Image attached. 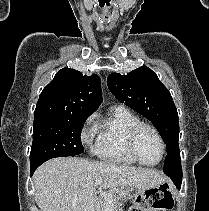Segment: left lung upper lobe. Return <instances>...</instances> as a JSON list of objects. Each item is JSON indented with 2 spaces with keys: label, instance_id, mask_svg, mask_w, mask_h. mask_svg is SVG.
<instances>
[{
  "label": "left lung upper lobe",
  "instance_id": "1",
  "mask_svg": "<svg viewBox=\"0 0 209 211\" xmlns=\"http://www.w3.org/2000/svg\"><path fill=\"white\" fill-rule=\"evenodd\" d=\"M111 93L122 103L149 119L166 143L165 174L182 172L179 151V118L169 90L147 66L127 75L112 73L107 78Z\"/></svg>",
  "mask_w": 209,
  "mask_h": 211
}]
</instances>
